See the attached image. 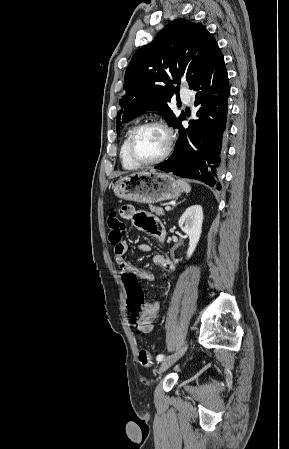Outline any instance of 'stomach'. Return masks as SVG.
Returning <instances> with one entry per match:
<instances>
[{
	"mask_svg": "<svg viewBox=\"0 0 289 449\" xmlns=\"http://www.w3.org/2000/svg\"><path fill=\"white\" fill-rule=\"evenodd\" d=\"M112 189L118 198L146 204L175 199L183 192L170 174L156 171L120 177Z\"/></svg>",
	"mask_w": 289,
	"mask_h": 449,
	"instance_id": "stomach-1",
	"label": "stomach"
}]
</instances>
